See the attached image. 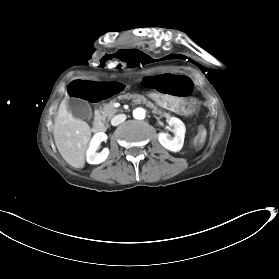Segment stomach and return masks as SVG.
Segmentation results:
<instances>
[{"label":"stomach","instance_id":"0dacf381","mask_svg":"<svg viewBox=\"0 0 279 279\" xmlns=\"http://www.w3.org/2000/svg\"><path fill=\"white\" fill-rule=\"evenodd\" d=\"M150 98L154 100L155 104L163 106L167 110L184 114L186 116H192L196 113L198 104L196 100L186 97L175 98L171 95H167L162 98L159 93H150Z\"/></svg>","mask_w":279,"mask_h":279}]
</instances>
